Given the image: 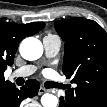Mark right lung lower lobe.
Wrapping results in <instances>:
<instances>
[{"label": "right lung lower lobe", "mask_w": 107, "mask_h": 107, "mask_svg": "<svg viewBox=\"0 0 107 107\" xmlns=\"http://www.w3.org/2000/svg\"><path fill=\"white\" fill-rule=\"evenodd\" d=\"M40 84L37 80H28L20 89L9 81L0 84V107H19L20 103L27 97H34L39 90Z\"/></svg>", "instance_id": "98d812e1"}]
</instances>
